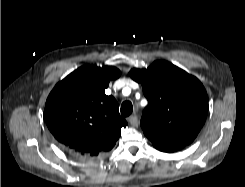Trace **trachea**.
<instances>
[{"label":"trachea","instance_id":"1","mask_svg":"<svg viewBox=\"0 0 245 187\" xmlns=\"http://www.w3.org/2000/svg\"><path fill=\"white\" fill-rule=\"evenodd\" d=\"M133 111V105L130 101H124L121 105V115L123 117L129 116Z\"/></svg>","mask_w":245,"mask_h":187}]
</instances>
